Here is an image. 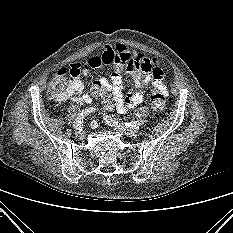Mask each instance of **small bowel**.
Wrapping results in <instances>:
<instances>
[{"label": "small bowel", "mask_w": 233, "mask_h": 233, "mask_svg": "<svg viewBox=\"0 0 233 233\" xmlns=\"http://www.w3.org/2000/svg\"><path fill=\"white\" fill-rule=\"evenodd\" d=\"M102 65H111L114 69L111 79L99 75L100 82L109 92L112 93L116 109L119 113H126L141 104L145 99L144 90L153 85L156 90L167 94V87L163 82L164 70L158 65L155 58H149L138 52L130 51L125 45L117 44L112 46L105 44L100 55H93L82 64L71 65L69 73L71 80L68 86V95L65 99H71L76 103L89 104L92 97L88 93H83L84 83L80 79V74L88 75L90 70ZM125 69L134 79L136 89L124 94V86L120 71ZM64 68L58 73L65 72ZM82 94V95H81ZM81 95L80 97H77Z\"/></svg>", "instance_id": "small-bowel-1"}]
</instances>
